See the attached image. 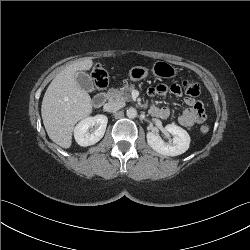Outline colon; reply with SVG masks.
<instances>
[{
    "mask_svg": "<svg viewBox=\"0 0 250 250\" xmlns=\"http://www.w3.org/2000/svg\"><path fill=\"white\" fill-rule=\"evenodd\" d=\"M91 76H92L94 85L98 90H102L107 86L108 73L102 65L96 64L92 69ZM181 86L184 92L186 93V95L191 98H196L200 95V87L194 81L184 80ZM200 131L204 134L208 133L209 127L206 125H203L201 126Z\"/></svg>",
    "mask_w": 250,
    "mask_h": 250,
    "instance_id": "colon-1",
    "label": "colon"
}]
</instances>
